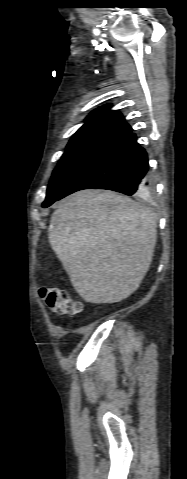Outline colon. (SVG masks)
<instances>
[{"mask_svg": "<svg viewBox=\"0 0 187 479\" xmlns=\"http://www.w3.org/2000/svg\"><path fill=\"white\" fill-rule=\"evenodd\" d=\"M39 295L49 308L61 315L75 316L82 311V303L73 299L66 290L43 286L39 288Z\"/></svg>", "mask_w": 187, "mask_h": 479, "instance_id": "1", "label": "colon"}]
</instances>
